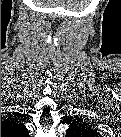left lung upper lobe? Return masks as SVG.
Returning a JSON list of instances; mask_svg holds the SVG:
<instances>
[{
	"label": "left lung upper lobe",
	"mask_w": 121,
	"mask_h": 137,
	"mask_svg": "<svg viewBox=\"0 0 121 137\" xmlns=\"http://www.w3.org/2000/svg\"><path fill=\"white\" fill-rule=\"evenodd\" d=\"M85 128H87V126L85 124L78 123V122H73L71 124L70 132L75 131V130H80V129L82 130V129H85Z\"/></svg>",
	"instance_id": "1"
}]
</instances>
